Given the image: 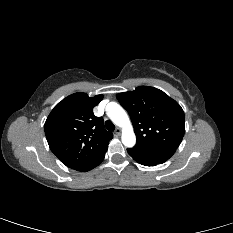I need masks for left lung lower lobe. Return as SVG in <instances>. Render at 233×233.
<instances>
[{
    "label": "left lung lower lobe",
    "instance_id": "obj_1",
    "mask_svg": "<svg viewBox=\"0 0 233 233\" xmlns=\"http://www.w3.org/2000/svg\"><path fill=\"white\" fill-rule=\"evenodd\" d=\"M127 151L138 163L145 166H156L167 161L176 150L147 148L135 145L133 148L127 149Z\"/></svg>",
    "mask_w": 233,
    "mask_h": 233
}]
</instances>
